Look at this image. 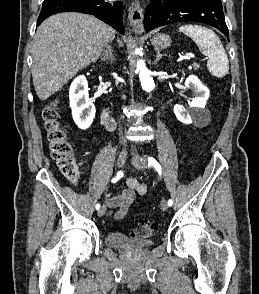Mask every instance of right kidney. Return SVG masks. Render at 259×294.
<instances>
[{"label": "right kidney", "mask_w": 259, "mask_h": 294, "mask_svg": "<svg viewBox=\"0 0 259 294\" xmlns=\"http://www.w3.org/2000/svg\"><path fill=\"white\" fill-rule=\"evenodd\" d=\"M88 83L84 75L76 77L69 89L70 107L72 117L76 125L86 130L95 117V106L89 98Z\"/></svg>", "instance_id": "ca27d5eb"}]
</instances>
